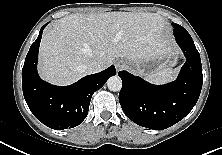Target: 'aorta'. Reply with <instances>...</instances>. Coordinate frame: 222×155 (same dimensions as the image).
<instances>
[{"mask_svg":"<svg viewBox=\"0 0 222 155\" xmlns=\"http://www.w3.org/2000/svg\"><path fill=\"white\" fill-rule=\"evenodd\" d=\"M107 87L110 91H120L122 88V80L118 76H112L107 81Z\"/></svg>","mask_w":222,"mask_h":155,"instance_id":"1","label":"aorta"}]
</instances>
